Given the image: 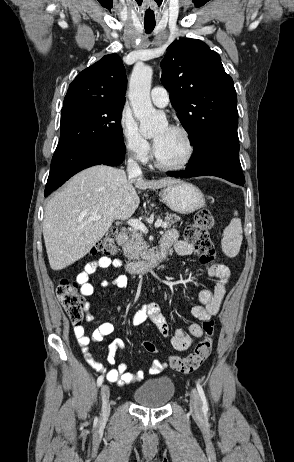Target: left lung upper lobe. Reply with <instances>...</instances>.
Returning <instances> with one entry per match:
<instances>
[{"label": "left lung upper lobe", "mask_w": 294, "mask_h": 462, "mask_svg": "<svg viewBox=\"0 0 294 462\" xmlns=\"http://www.w3.org/2000/svg\"><path fill=\"white\" fill-rule=\"evenodd\" d=\"M161 67V82L193 146L222 124L238 121L233 80L218 53L204 42L188 38L173 42Z\"/></svg>", "instance_id": "obj_1"}]
</instances>
